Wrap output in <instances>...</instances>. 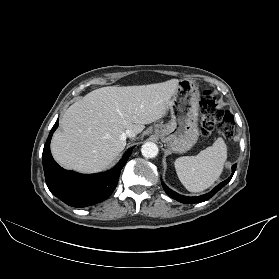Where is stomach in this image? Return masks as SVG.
I'll list each match as a JSON object with an SVG mask.
<instances>
[{
	"label": "stomach",
	"instance_id": "stomach-1",
	"mask_svg": "<svg viewBox=\"0 0 279 279\" xmlns=\"http://www.w3.org/2000/svg\"><path fill=\"white\" fill-rule=\"evenodd\" d=\"M200 93L193 81L179 80L169 104L171 121L157 124L154 133L169 149L185 153L198 140V110Z\"/></svg>",
	"mask_w": 279,
	"mask_h": 279
}]
</instances>
